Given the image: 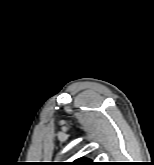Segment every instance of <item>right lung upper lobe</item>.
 <instances>
[{
  "label": "right lung upper lobe",
  "instance_id": "obj_1",
  "mask_svg": "<svg viewBox=\"0 0 154 165\" xmlns=\"http://www.w3.org/2000/svg\"><path fill=\"white\" fill-rule=\"evenodd\" d=\"M72 165H95L94 162L87 158H79L71 163Z\"/></svg>",
  "mask_w": 154,
  "mask_h": 165
}]
</instances>
